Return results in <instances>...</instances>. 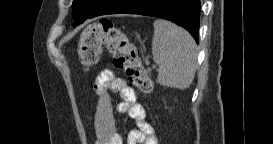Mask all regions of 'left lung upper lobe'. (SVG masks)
<instances>
[{"label":"left lung upper lobe","mask_w":273,"mask_h":144,"mask_svg":"<svg viewBox=\"0 0 273 144\" xmlns=\"http://www.w3.org/2000/svg\"><path fill=\"white\" fill-rule=\"evenodd\" d=\"M95 1L96 0H88L87 7H90L91 5H93ZM81 2H83V0L73 1V13H75L77 10H83L85 8V3H81Z\"/></svg>","instance_id":"5c2ea615"}]
</instances>
